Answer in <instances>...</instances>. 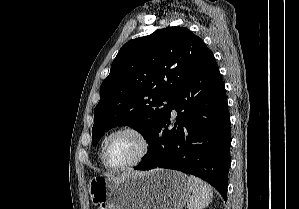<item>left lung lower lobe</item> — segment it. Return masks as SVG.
Segmentation results:
<instances>
[{"instance_id":"obj_1","label":"left lung lower lobe","mask_w":299,"mask_h":209,"mask_svg":"<svg viewBox=\"0 0 299 209\" xmlns=\"http://www.w3.org/2000/svg\"><path fill=\"white\" fill-rule=\"evenodd\" d=\"M172 109L178 113L169 130ZM137 170L155 167L193 174L210 183L226 201L231 165V130L225 86L213 57L170 100L169 111Z\"/></svg>"}]
</instances>
